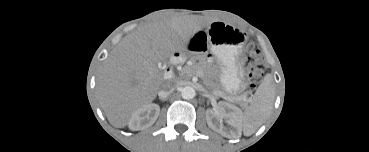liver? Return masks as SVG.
Wrapping results in <instances>:
<instances>
[{
    "instance_id": "6515ba94",
    "label": "liver",
    "mask_w": 369,
    "mask_h": 152,
    "mask_svg": "<svg viewBox=\"0 0 369 152\" xmlns=\"http://www.w3.org/2000/svg\"><path fill=\"white\" fill-rule=\"evenodd\" d=\"M200 26L174 17L144 25L125 36L104 61L96 92L109 123L125 127L132 114L150 104L164 83L159 63L176 52L182 55Z\"/></svg>"
}]
</instances>
